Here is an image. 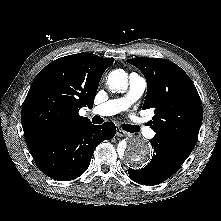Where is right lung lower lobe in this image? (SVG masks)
<instances>
[{
    "instance_id": "obj_1",
    "label": "right lung lower lobe",
    "mask_w": 221,
    "mask_h": 221,
    "mask_svg": "<svg viewBox=\"0 0 221 221\" xmlns=\"http://www.w3.org/2000/svg\"><path fill=\"white\" fill-rule=\"evenodd\" d=\"M116 133L111 122L91 123L60 131L27 143L38 167L58 181L73 180L89 167L95 148Z\"/></svg>"
}]
</instances>
